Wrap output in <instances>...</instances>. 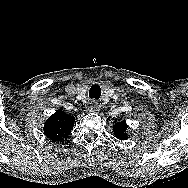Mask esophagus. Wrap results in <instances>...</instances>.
I'll use <instances>...</instances> for the list:
<instances>
[{
  "label": "esophagus",
  "mask_w": 188,
  "mask_h": 188,
  "mask_svg": "<svg viewBox=\"0 0 188 188\" xmlns=\"http://www.w3.org/2000/svg\"><path fill=\"white\" fill-rule=\"evenodd\" d=\"M89 109L90 111H93V112L99 111L100 104L97 101L93 100L90 102Z\"/></svg>",
  "instance_id": "34e87169"
}]
</instances>
